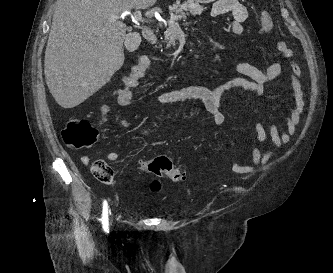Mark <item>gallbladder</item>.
<instances>
[{"instance_id":"bac80fb5","label":"gallbladder","mask_w":333,"mask_h":273,"mask_svg":"<svg viewBox=\"0 0 333 273\" xmlns=\"http://www.w3.org/2000/svg\"><path fill=\"white\" fill-rule=\"evenodd\" d=\"M132 42H130V40H132ZM140 44V38L139 36H136V37H133L132 35H129L127 37V40H126V47L129 51H134L137 49V47L139 46Z\"/></svg>"}]
</instances>
